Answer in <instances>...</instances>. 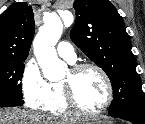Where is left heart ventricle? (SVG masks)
Returning a JSON list of instances; mask_svg holds the SVG:
<instances>
[{
	"label": "left heart ventricle",
	"mask_w": 145,
	"mask_h": 124,
	"mask_svg": "<svg viewBox=\"0 0 145 124\" xmlns=\"http://www.w3.org/2000/svg\"><path fill=\"white\" fill-rule=\"evenodd\" d=\"M63 81H70L78 103L88 111L98 109L106 99V87L98 72L87 69L73 76L70 71Z\"/></svg>",
	"instance_id": "obj_1"
}]
</instances>
